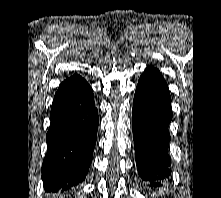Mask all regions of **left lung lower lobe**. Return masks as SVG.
<instances>
[{
    "label": "left lung lower lobe",
    "mask_w": 221,
    "mask_h": 198,
    "mask_svg": "<svg viewBox=\"0 0 221 198\" xmlns=\"http://www.w3.org/2000/svg\"><path fill=\"white\" fill-rule=\"evenodd\" d=\"M171 120L168 86L160 71L149 66L138 81L132 111L136 164L143 180H161L170 175L167 149Z\"/></svg>",
    "instance_id": "obj_1"
}]
</instances>
